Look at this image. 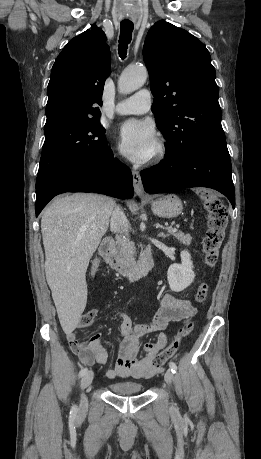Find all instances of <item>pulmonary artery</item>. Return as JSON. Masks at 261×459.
Wrapping results in <instances>:
<instances>
[{
	"mask_svg": "<svg viewBox=\"0 0 261 459\" xmlns=\"http://www.w3.org/2000/svg\"><path fill=\"white\" fill-rule=\"evenodd\" d=\"M151 94L149 90L142 89L129 98L119 102L115 111L120 115L143 114L150 109Z\"/></svg>",
	"mask_w": 261,
	"mask_h": 459,
	"instance_id": "1",
	"label": "pulmonary artery"
}]
</instances>
